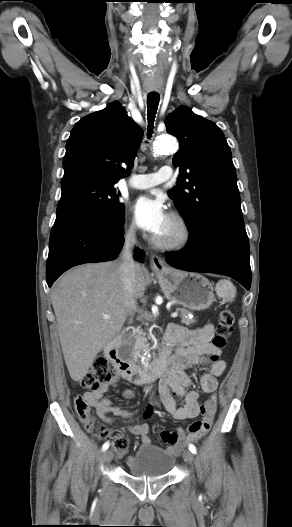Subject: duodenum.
<instances>
[{
  "instance_id": "obj_1",
  "label": "duodenum",
  "mask_w": 292,
  "mask_h": 527,
  "mask_svg": "<svg viewBox=\"0 0 292 527\" xmlns=\"http://www.w3.org/2000/svg\"><path fill=\"white\" fill-rule=\"evenodd\" d=\"M106 353L113 362L119 373L127 380L141 385L148 383L162 375L168 369L170 350L163 346L158 357L147 367L142 368L131 360L123 357L121 351V339L119 336L113 338L106 346Z\"/></svg>"
}]
</instances>
